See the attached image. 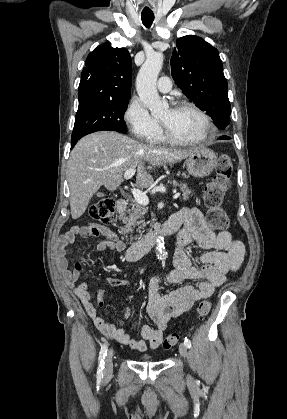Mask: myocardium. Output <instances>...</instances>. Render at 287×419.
Here are the masks:
<instances>
[{"label": "myocardium", "instance_id": "myocardium-1", "mask_svg": "<svg viewBox=\"0 0 287 419\" xmlns=\"http://www.w3.org/2000/svg\"><path fill=\"white\" fill-rule=\"evenodd\" d=\"M176 108H185V109H189L195 112L202 119L205 125L206 133L202 137L195 140H183V139L174 137L162 123V134H163V139L165 141L171 144H175V145L196 146V145H201V144L206 143L207 141L211 140L215 136L216 130L210 117L202 109L196 106L194 103L189 102V101H181L180 103H178Z\"/></svg>", "mask_w": 287, "mask_h": 419}]
</instances>
